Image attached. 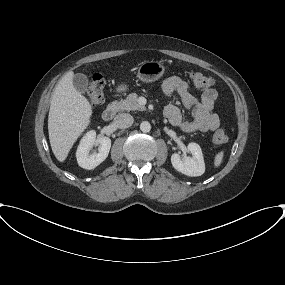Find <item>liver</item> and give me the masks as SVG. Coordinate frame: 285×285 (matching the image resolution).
Here are the masks:
<instances>
[{"label":"liver","instance_id":"obj_1","mask_svg":"<svg viewBox=\"0 0 285 285\" xmlns=\"http://www.w3.org/2000/svg\"><path fill=\"white\" fill-rule=\"evenodd\" d=\"M73 72L66 73L56 85L48 115L52 151L64 162L77 138L90 123L92 107L73 85Z\"/></svg>","mask_w":285,"mask_h":285}]
</instances>
